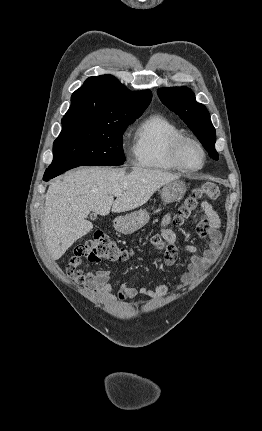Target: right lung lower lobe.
<instances>
[{"mask_svg":"<svg viewBox=\"0 0 262 431\" xmlns=\"http://www.w3.org/2000/svg\"><path fill=\"white\" fill-rule=\"evenodd\" d=\"M78 166H66V167H60V168H47L45 171V174L43 176V180L48 181L49 179H52L60 174H62L63 172L75 168Z\"/></svg>","mask_w":262,"mask_h":431,"instance_id":"obj_1","label":"right lung lower lobe"}]
</instances>
